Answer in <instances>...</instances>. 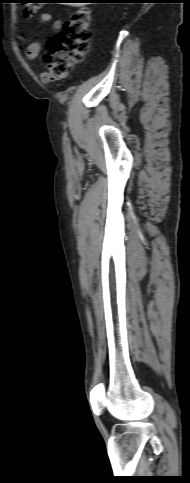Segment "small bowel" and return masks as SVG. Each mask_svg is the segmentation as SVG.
I'll return each instance as SVG.
<instances>
[{
    "label": "small bowel",
    "mask_w": 190,
    "mask_h": 483,
    "mask_svg": "<svg viewBox=\"0 0 190 483\" xmlns=\"http://www.w3.org/2000/svg\"><path fill=\"white\" fill-rule=\"evenodd\" d=\"M40 20L43 24H48L50 29L53 31H58L61 27L60 20H53L52 16L49 13L42 14ZM39 52H40L39 43L31 42L28 44L25 54L28 59L34 60L38 57ZM41 80L43 82L49 81V77L45 72L41 74Z\"/></svg>",
    "instance_id": "c3829d8e"
}]
</instances>
